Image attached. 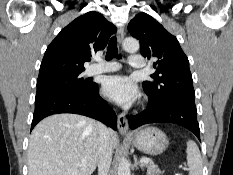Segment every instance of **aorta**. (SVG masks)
I'll return each instance as SVG.
<instances>
[{
  "label": "aorta",
  "mask_w": 233,
  "mask_h": 175,
  "mask_svg": "<svg viewBox=\"0 0 233 175\" xmlns=\"http://www.w3.org/2000/svg\"><path fill=\"white\" fill-rule=\"evenodd\" d=\"M123 48L129 53H135L139 49V42L134 38H126L123 41ZM118 175H131L130 165L124 157L119 161Z\"/></svg>",
  "instance_id": "762f6f07"
}]
</instances>
